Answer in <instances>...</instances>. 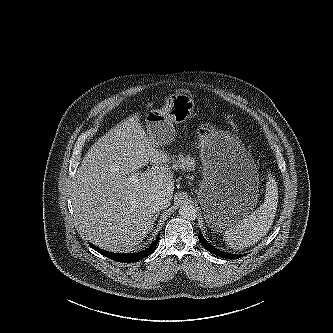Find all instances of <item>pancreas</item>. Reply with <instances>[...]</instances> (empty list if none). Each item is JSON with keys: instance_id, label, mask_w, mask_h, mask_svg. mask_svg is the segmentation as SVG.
<instances>
[{"instance_id": "obj_1", "label": "pancreas", "mask_w": 333, "mask_h": 333, "mask_svg": "<svg viewBox=\"0 0 333 333\" xmlns=\"http://www.w3.org/2000/svg\"><path fill=\"white\" fill-rule=\"evenodd\" d=\"M175 168H179L181 170H195L196 163L195 159L190 155L184 156L183 154L178 155V160L175 161Z\"/></svg>"}]
</instances>
